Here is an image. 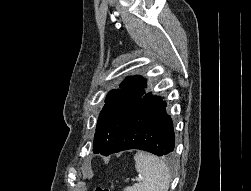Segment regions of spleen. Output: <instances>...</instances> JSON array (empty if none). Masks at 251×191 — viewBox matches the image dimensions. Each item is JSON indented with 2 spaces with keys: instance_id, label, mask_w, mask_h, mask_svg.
I'll list each match as a JSON object with an SVG mask.
<instances>
[{
  "instance_id": "1",
  "label": "spleen",
  "mask_w": 251,
  "mask_h": 191,
  "mask_svg": "<svg viewBox=\"0 0 251 191\" xmlns=\"http://www.w3.org/2000/svg\"><path fill=\"white\" fill-rule=\"evenodd\" d=\"M134 159L136 171L143 175V179L140 183L124 187V191H168L171 175L163 159L140 149H137Z\"/></svg>"
}]
</instances>
